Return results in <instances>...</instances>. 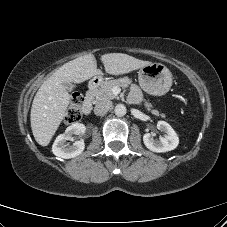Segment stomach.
I'll return each mask as SVG.
<instances>
[{
  "label": "stomach",
  "instance_id": "1",
  "mask_svg": "<svg viewBox=\"0 0 227 227\" xmlns=\"http://www.w3.org/2000/svg\"><path fill=\"white\" fill-rule=\"evenodd\" d=\"M95 79H101V77ZM138 80L145 92L155 96L166 94L172 85L171 72L160 63H151L140 68Z\"/></svg>",
  "mask_w": 227,
  "mask_h": 227
}]
</instances>
